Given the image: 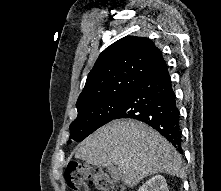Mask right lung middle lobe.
<instances>
[{
	"label": "right lung middle lobe",
	"mask_w": 221,
	"mask_h": 191,
	"mask_svg": "<svg viewBox=\"0 0 221 191\" xmlns=\"http://www.w3.org/2000/svg\"><path fill=\"white\" fill-rule=\"evenodd\" d=\"M128 93L129 91L79 109L77 118L69 128L70 139L80 142L99 127L112 121ZM70 142L71 140L68 141Z\"/></svg>",
	"instance_id": "dd1d6c3e"
}]
</instances>
